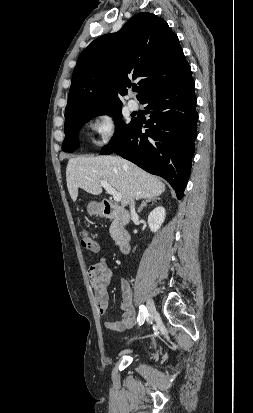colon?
I'll list each match as a JSON object with an SVG mask.
<instances>
[{
	"label": "colon",
	"mask_w": 253,
	"mask_h": 413,
	"mask_svg": "<svg viewBox=\"0 0 253 413\" xmlns=\"http://www.w3.org/2000/svg\"><path fill=\"white\" fill-rule=\"evenodd\" d=\"M81 245L90 251L97 252L99 247L98 244L89 236L85 231L81 234Z\"/></svg>",
	"instance_id": "1"
}]
</instances>
